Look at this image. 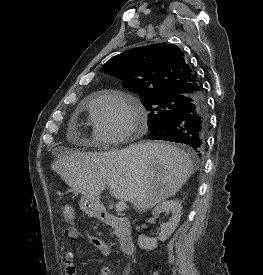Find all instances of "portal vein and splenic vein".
Wrapping results in <instances>:
<instances>
[{"label": "portal vein and splenic vein", "instance_id": "portal-vein-and-splenic-vein-1", "mask_svg": "<svg viewBox=\"0 0 263 275\" xmlns=\"http://www.w3.org/2000/svg\"><path fill=\"white\" fill-rule=\"evenodd\" d=\"M126 209V202L121 200L116 204V211L123 212Z\"/></svg>", "mask_w": 263, "mask_h": 275}]
</instances>
